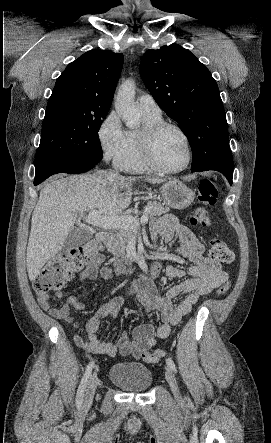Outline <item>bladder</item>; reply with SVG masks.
I'll list each match as a JSON object with an SVG mask.
<instances>
[{
    "mask_svg": "<svg viewBox=\"0 0 271 443\" xmlns=\"http://www.w3.org/2000/svg\"><path fill=\"white\" fill-rule=\"evenodd\" d=\"M109 380L119 388L142 393L152 385V373L148 367L139 362H118L111 366Z\"/></svg>",
    "mask_w": 271,
    "mask_h": 443,
    "instance_id": "31cf9c89",
    "label": "bladder"
}]
</instances>
